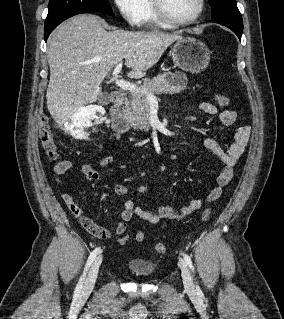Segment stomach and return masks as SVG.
<instances>
[{
	"mask_svg": "<svg viewBox=\"0 0 284 319\" xmlns=\"http://www.w3.org/2000/svg\"><path fill=\"white\" fill-rule=\"evenodd\" d=\"M172 58L181 70L190 73H200L209 64L210 51L200 40L191 37H181L172 48Z\"/></svg>",
	"mask_w": 284,
	"mask_h": 319,
	"instance_id": "0dacf381",
	"label": "stomach"
}]
</instances>
